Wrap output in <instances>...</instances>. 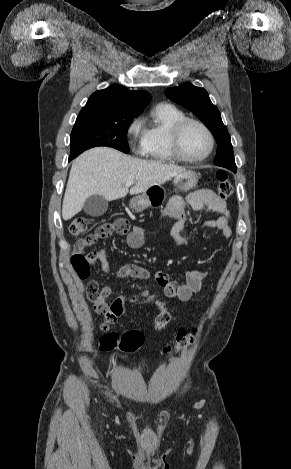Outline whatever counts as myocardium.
Segmentation results:
<instances>
[{"label": "myocardium", "instance_id": "f54148a6", "mask_svg": "<svg viewBox=\"0 0 291 469\" xmlns=\"http://www.w3.org/2000/svg\"><path fill=\"white\" fill-rule=\"evenodd\" d=\"M189 124H196L199 127H201L206 133L208 140H209V147H208L207 152L203 156L198 157V158L187 157L182 151V147H181L182 133L185 127ZM169 140H170V147L175 158L182 162L191 163V164L201 163L205 161L212 154L214 150V146H215L214 135L212 131L209 129V127L206 124H204L202 121L195 119V118H190V117H184L181 120L177 121L172 126L170 130Z\"/></svg>", "mask_w": 291, "mask_h": 469}]
</instances>
